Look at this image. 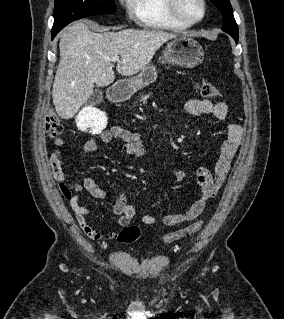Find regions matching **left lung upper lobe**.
<instances>
[{
    "instance_id": "5c2ea615",
    "label": "left lung upper lobe",
    "mask_w": 284,
    "mask_h": 319,
    "mask_svg": "<svg viewBox=\"0 0 284 319\" xmlns=\"http://www.w3.org/2000/svg\"><path fill=\"white\" fill-rule=\"evenodd\" d=\"M220 10L223 18L222 30L230 34L234 39H238V27L233 16V10L229 0H211Z\"/></svg>"
}]
</instances>
